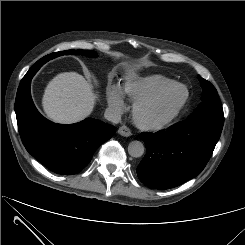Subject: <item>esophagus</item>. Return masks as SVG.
I'll use <instances>...</instances> for the list:
<instances>
[{
    "label": "esophagus",
    "instance_id": "obj_1",
    "mask_svg": "<svg viewBox=\"0 0 245 245\" xmlns=\"http://www.w3.org/2000/svg\"><path fill=\"white\" fill-rule=\"evenodd\" d=\"M118 134H120L121 136H124V137H129L132 135V132L127 126H121L118 129Z\"/></svg>",
    "mask_w": 245,
    "mask_h": 245
}]
</instances>
